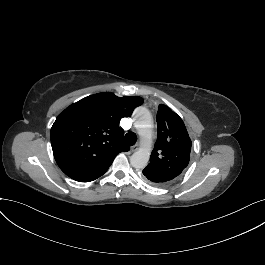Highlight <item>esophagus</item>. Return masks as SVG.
<instances>
[{"instance_id":"obj_1","label":"esophagus","mask_w":265,"mask_h":265,"mask_svg":"<svg viewBox=\"0 0 265 265\" xmlns=\"http://www.w3.org/2000/svg\"><path fill=\"white\" fill-rule=\"evenodd\" d=\"M139 148V144L137 143L136 145L133 146V151L137 150Z\"/></svg>"}]
</instances>
